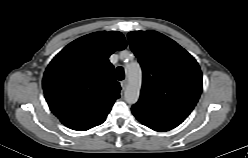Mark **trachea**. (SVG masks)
Masks as SVG:
<instances>
[{
  "label": "trachea",
  "mask_w": 248,
  "mask_h": 158,
  "mask_svg": "<svg viewBox=\"0 0 248 158\" xmlns=\"http://www.w3.org/2000/svg\"><path fill=\"white\" fill-rule=\"evenodd\" d=\"M124 77H125L124 69L121 66L117 67V69H116V78L118 80H123Z\"/></svg>",
  "instance_id": "3493384b"
}]
</instances>
